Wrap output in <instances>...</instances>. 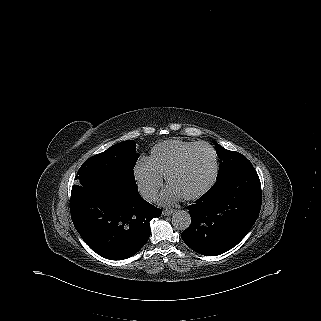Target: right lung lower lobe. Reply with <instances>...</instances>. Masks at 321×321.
I'll return each mask as SVG.
<instances>
[{
	"label": "right lung lower lobe",
	"instance_id": "right-lung-lower-lobe-1",
	"mask_svg": "<svg viewBox=\"0 0 321 321\" xmlns=\"http://www.w3.org/2000/svg\"><path fill=\"white\" fill-rule=\"evenodd\" d=\"M71 218L85 243L100 256L123 260L136 254L150 237V220L162 210L136 191H84L71 195Z\"/></svg>",
	"mask_w": 321,
	"mask_h": 321
}]
</instances>
